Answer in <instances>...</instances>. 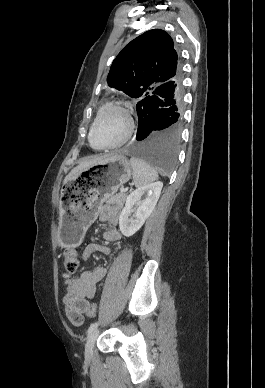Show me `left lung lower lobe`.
<instances>
[{"instance_id":"1","label":"left lung lower lobe","mask_w":265,"mask_h":388,"mask_svg":"<svg viewBox=\"0 0 265 388\" xmlns=\"http://www.w3.org/2000/svg\"><path fill=\"white\" fill-rule=\"evenodd\" d=\"M182 77L168 81L148 99L136 105V141L128 147L131 155L150 165L170 171L176 161L183 115Z\"/></svg>"}]
</instances>
